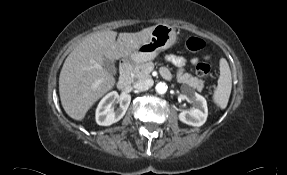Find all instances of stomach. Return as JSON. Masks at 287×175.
<instances>
[{
	"label": "stomach",
	"mask_w": 287,
	"mask_h": 175,
	"mask_svg": "<svg viewBox=\"0 0 287 175\" xmlns=\"http://www.w3.org/2000/svg\"><path fill=\"white\" fill-rule=\"evenodd\" d=\"M177 41V34L172 26L157 24L154 26L147 42L133 51L127 59L134 63L152 60L158 53L173 46Z\"/></svg>",
	"instance_id": "obj_1"
}]
</instances>
